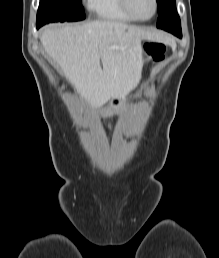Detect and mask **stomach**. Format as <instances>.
<instances>
[{"label": "stomach", "instance_id": "0dacf381", "mask_svg": "<svg viewBox=\"0 0 219 258\" xmlns=\"http://www.w3.org/2000/svg\"><path fill=\"white\" fill-rule=\"evenodd\" d=\"M124 105V98H112L109 101L107 107H104L101 112L102 114L107 116H112L113 114L119 113L122 111Z\"/></svg>", "mask_w": 219, "mask_h": 258}]
</instances>
